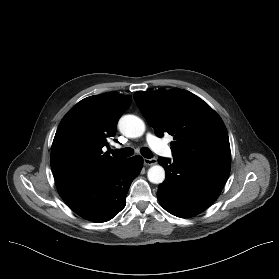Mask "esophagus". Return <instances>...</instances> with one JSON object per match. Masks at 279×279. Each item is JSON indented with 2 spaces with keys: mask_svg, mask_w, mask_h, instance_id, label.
<instances>
[{
  "mask_svg": "<svg viewBox=\"0 0 279 279\" xmlns=\"http://www.w3.org/2000/svg\"><path fill=\"white\" fill-rule=\"evenodd\" d=\"M157 163V159L156 158H144V164L151 166V165H155Z\"/></svg>",
  "mask_w": 279,
  "mask_h": 279,
  "instance_id": "esophagus-1",
  "label": "esophagus"
}]
</instances>
